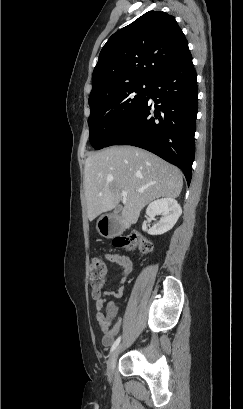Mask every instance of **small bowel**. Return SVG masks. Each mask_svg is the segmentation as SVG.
I'll list each match as a JSON object with an SVG mask.
<instances>
[{
  "label": "small bowel",
  "mask_w": 243,
  "mask_h": 409,
  "mask_svg": "<svg viewBox=\"0 0 243 409\" xmlns=\"http://www.w3.org/2000/svg\"><path fill=\"white\" fill-rule=\"evenodd\" d=\"M103 257L114 264H117L120 268V279L119 284L120 286L113 291H105L101 297L97 298L96 302V319L98 321L99 326L103 330L104 334L102 336V345L108 347L112 344L115 335L117 334L119 327L121 325V320L116 316L117 308L112 303H108V307L110 309L111 314L114 316V327L111 330H105L103 326V318L101 310L106 303L108 297H115L119 298L123 295L124 292V284L127 280L128 275L132 272L133 264L131 260L122 254L118 253H106Z\"/></svg>",
  "instance_id": "1"
}]
</instances>
